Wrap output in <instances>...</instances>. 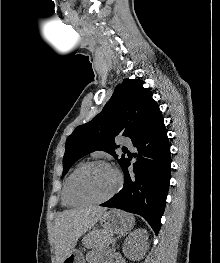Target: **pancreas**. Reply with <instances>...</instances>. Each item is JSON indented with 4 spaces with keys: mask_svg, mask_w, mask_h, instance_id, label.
<instances>
[{
    "mask_svg": "<svg viewBox=\"0 0 220 263\" xmlns=\"http://www.w3.org/2000/svg\"><path fill=\"white\" fill-rule=\"evenodd\" d=\"M110 236L104 230H94L83 238V244L87 248L105 249Z\"/></svg>",
    "mask_w": 220,
    "mask_h": 263,
    "instance_id": "1",
    "label": "pancreas"
}]
</instances>
